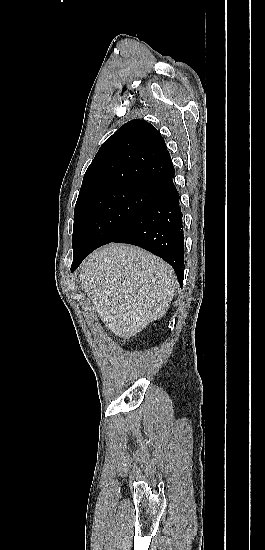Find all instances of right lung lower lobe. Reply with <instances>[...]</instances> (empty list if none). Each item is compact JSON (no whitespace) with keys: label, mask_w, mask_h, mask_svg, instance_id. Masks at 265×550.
<instances>
[{"label":"right lung lower lobe","mask_w":265,"mask_h":550,"mask_svg":"<svg viewBox=\"0 0 265 550\" xmlns=\"http://www.w3.org/2000/svg\"><path fill=\"white\" fill-rule=\"evenodd\" d=\"M174 174L175 171L171 172L161 182L145 211L111 242L133 244L161 257L176 271L182 287L184 234L180 196L173 184ZM86 256L71 266V271L76 270Z\"/></svg>","instance_id":"obj_1"}]
</instances>
